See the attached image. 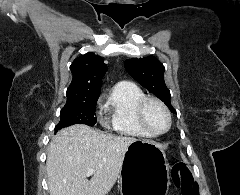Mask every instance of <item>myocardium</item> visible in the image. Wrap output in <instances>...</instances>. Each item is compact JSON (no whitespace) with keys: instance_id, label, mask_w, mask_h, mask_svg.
<instances>
[{"instance_id":"obj_1","label":"myocardium","mask_w":240,"mask_h":195,"mask_svg":"<svg viewBox=\"0 0 240 195\" xmlns=\"http://www.w3.org/2000/svg\"><path fill=\"white\" fill-rule=\"evenodd\" d=\"M150 104H155L157 105L165 114L166 119H167V125L166 128L162 131H157L155 130L148 122L147 120V115H146V110L147 107ZM137 118L138 121L140 123V125L151 135L153 136H160L163 135L165 133H167L171 127V123H172V118H171V114L170 111L168 110V108L166 107V105L159 100L158 98L155 97H150V96H145L143 97L137 106Z\"/></svg>"}]
</instances>
